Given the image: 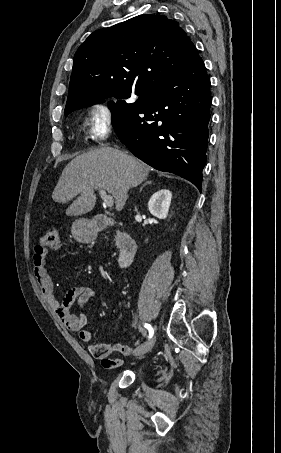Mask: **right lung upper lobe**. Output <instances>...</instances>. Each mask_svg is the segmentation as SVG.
<instances>
[{"label": "right lung upper lobe", "mask_w": 281, "mask_h": 453, "mask_svg": "<svg viewBox=\"0 0 281 453\" xmlns=\"http://www.w3.org/2000/svg\"><path fill=\"white\" fill-rule=\"evenodd\" d=\"M198 56L185 31L166 16L143 14L97 30L74 56L65 113L132 91L140 96Z\"/></svg>", "instance_id": "right-lung-upper-lobe-1"}]
</instances>
